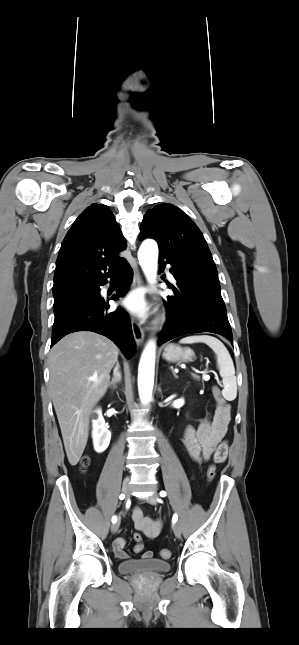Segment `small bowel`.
<instances>
[{
  "instance_id": "small-bowel-1",
  "label": "small bowel",
  "mask_w": 299,
  "mask_h": 645,
  "mask_svg": "<svg viewBox=\"0 0 299 645\" xmlns=\"http://www.w3.org/2000/svg\"><path fill=\"white\" fill-rule=\"evenodd\" d=\"M229 419V410H225L218 404L215 411L202 419L197 428L190 425L186 427L183 436V447L193 461L204 463L211 458L217 462L225 461L228 455V443L225 441V436ZM132 518L136 530L146 537L153 539L160 534L161 521L144 516L139 507L133 509ZM125 544L126 540L123 537H118L113 542L114 554L119 559L128 558L127 553L124 551ZM151 557L152 552L150 551L143 554L144 559Z\"/></svg>"
}]
</instances>
